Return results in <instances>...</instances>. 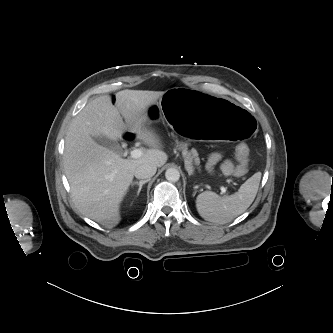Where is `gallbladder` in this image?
Listing matches in <instances>:
<instances>
[{
    "label": "gallbladder",
    "mask_w": 333,
    "mask_h": 333,
    "mask_svg": "<svg viewBox=\"0 0 333 333\" xmlns=\"http://www.w3.org/2000/svg\"><path fill=\"white\" fill-rule=\"evenodd\" d=\"M94 139L97 143H99L102 146L116 152L117 154H122L123 153V150H122L120 144L116 141L110 140L106 137H96Z\"/></svg>",
    "instance_id": "obj_1"
}]
</instances>
